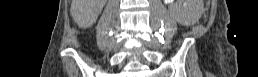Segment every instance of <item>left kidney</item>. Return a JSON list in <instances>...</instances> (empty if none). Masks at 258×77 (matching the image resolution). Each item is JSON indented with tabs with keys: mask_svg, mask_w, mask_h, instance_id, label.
I'll list each match as a JSON object with an SVG mask.
<instances>
[{
	"mask_svg": "<svg viewBox=\"0 0 258 77\" xmlns=\"http://www.w3.org/2000/svg\"><path fill=\"white\" fill-rule=\"evenodd\" d=\"M170 2H173V0H168ZM177 5L173 9V13L175 16V19L184 25H189L194 23L195 16L191 10L190 7H185L182 4H184L186 1L184 0H177Z\"/></svg>",
	"mask_w": 258,
	"mask_h": 77,
	"instance_id": "1",
	"label": "left kidney"
}]
</instances>
